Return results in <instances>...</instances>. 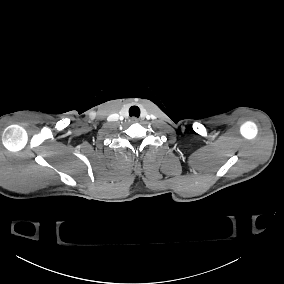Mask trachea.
<instances>
[{"label":"trachea","mask_w":284,"mask_h":284,"mask_svg":"<svg viewBox=\"0 0 284 284\" xmlns=\"http://www.w3.org/2000/svg\"><path fill=\"white\" fill-rule=\"evenodd\" d=\"M130 116L139 117L140 116V109L138 106H132L129 109Z\"/></svg>","instance_id":"trachea-1"}]
</instances>
